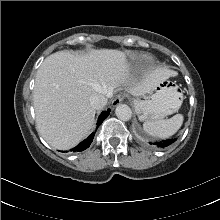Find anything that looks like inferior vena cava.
<instances>
[{
	"instance_id": "602c4592",
	"label": "inferior vena cava",
	"mask_w": 220,
	"mask_h": 220,
	"mask_svg": "<svg viewBox=\"0 0 220 220\" xmlns=\"http://www.w3.org/2000/svg\"><path fill=\"white\" fill-rule=\"evenodd\" d=\"M108 95H110V92H105L101 94H98V93L93 94L89 99L91 106L94 109L103 108L107 104Z\"/></svg>"
}]
</instances>
